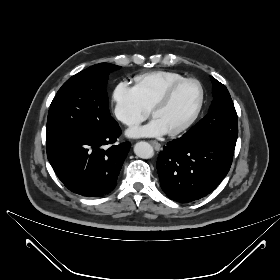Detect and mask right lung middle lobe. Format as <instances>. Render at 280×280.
<instances>
[{
  "mask_svg": "<svg viewBox=\"0 0 280 280\" xmlns=\"http://www.w3.org/2000/svg\"><path fill=\"white\" fill-rule=\"evenodd\" d=\"M118 69L96 64L63 84L50 105L47 142L67 133L101 132L117 124L109 112L106 86L110 72Z\"/></svg>",
  "mask_w": 280,
  "mask_h": 280,
  "instance_id": "1",
  "label": "right lung middle lobe"
}]
</instances>
